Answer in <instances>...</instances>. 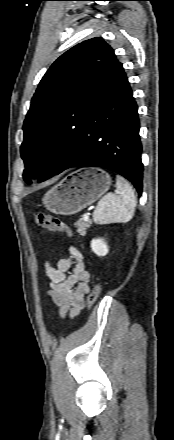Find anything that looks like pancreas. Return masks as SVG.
Returning <instances> with one entry per match:
<instances>
[{"label": "pancreas", "mask_w": 174, "mask_h": 440, "mask_svg": "<svg viewBox=\"0 0 174 440\" xmlns=\"http://www.w3.org/2000/svg\"><path fill=\"white\" fill-rule=\"evenodd\" d=\"M92 225V220H88V221H82L79 220L77 221L74 226L77 227V232L81 235V236H85L86 235V230Z\"/></svg>", "instance_id": "pancreas-1"}]
</instances>
